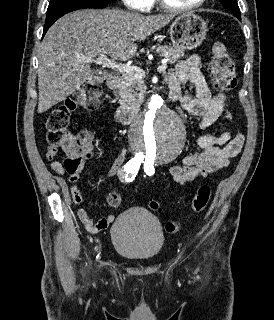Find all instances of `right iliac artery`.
Instances as JSON below:
<instances>
[{
  "instance_id": "1",
  "label": "right iliac artery",
  "mask_w": 274,
  "mask_h": 320,
  "mask_svg": "<svg viewBox=\"0 0 274 320\" xmlns=\"http://www.w3.org/2000/svg\"><path fill=\"white\" fill-rule=\"evenodd\" d=\"M141 162H142V159L133 158L124 166V171L127 173L126 179L128 177L127 181H132L134 179V177L136 176V173L139 170ZM128 174L130 175L128 176Z\"/></svg>"
}]
</instances>
